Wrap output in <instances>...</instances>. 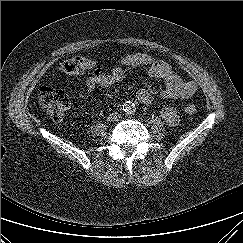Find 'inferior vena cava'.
Segmentation results:
<instances>
[{"label":"inferior vena cava","mask_w":243,"mask_h":243,"mask_svg":"<svg viewBox=\"0 0 243 243\" xmlns=\"http://www.w3.org/2000/svg\"><path fill=\"white\" fill-rule=\"evenodd\" d=\"M114 118H115V119H118V118H119V114H118V113H115V114H114Z\"/></svg>","instance_id":"1"}]
</instances>
